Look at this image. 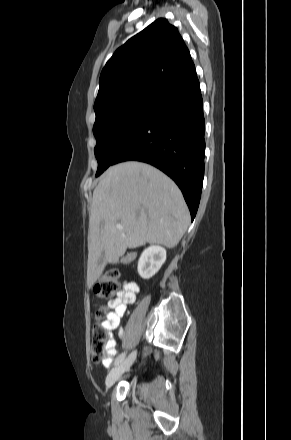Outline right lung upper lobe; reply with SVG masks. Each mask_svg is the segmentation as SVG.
<instances>
[{
	"instance_id": "obj_1",
	"label": "right lung upper lobe",
	"mask_w": 291,
	"mask_h": 440,
	"mask_svg": "<svg viewBox=\"0 0 291 440\" xmlns=\"http://www.w3.org/2000/svg\"><path fill=\"white\" fill-rule=\"evenodd\" d=\"M194 70L178 29L159 18L130 38L108 60L100 75L94 109L139 96L155 97Z\"/></svg>"
}]
</instances>
